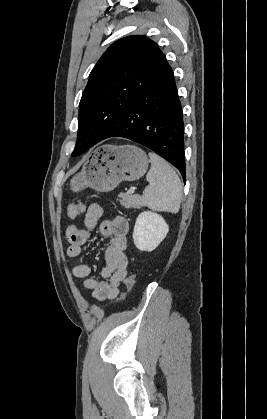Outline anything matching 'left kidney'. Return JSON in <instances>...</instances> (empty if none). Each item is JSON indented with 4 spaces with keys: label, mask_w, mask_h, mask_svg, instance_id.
Masks as SVG:
<instances>
[{
    "label": "left kidney",
    "mask_w": 267,
    "mask_h": 419,
    "mask_svg": "<svg viewBox=\"0 0 267 419\" xmlns=\"http://www.w3.org/2000/svg\"><path fill=\"white\" fill-rule=\"evenodd\" d=\"M169 226L164 218L152 211L139 214L133 230L135 246L141 251H153L164 240Z\"/></svg>",
    "instance_id": "5707ae66"
}]
</instances>
